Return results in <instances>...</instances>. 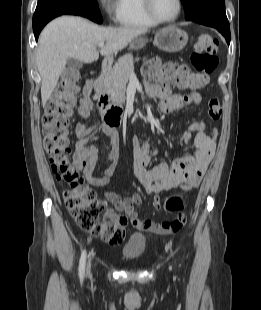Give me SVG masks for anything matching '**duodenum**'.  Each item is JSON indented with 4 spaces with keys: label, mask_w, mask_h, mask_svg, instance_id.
Instances as JSON below:
<instances>
[{
    "label": "duodenum",
    "mask_w": 261,
    "mask_h": 310,
    "mask_svg": "<svg viewBox=\"0 0 261 310\" xmlns=\"http://www.w3.org/2000/svg\"><path fill=\"white\" fill-rule=\"evenodd\" d=\"M110 67L111 61L104 60L102 63V73L105 74ZM93 88L103 124L109 128L118 127L123 121V108L119 105H113L110 103L109 98L104 91L102 77H98L93 81Z\"/></svg>",
    "instance_id": "410a0bca"
}]
</instances>
